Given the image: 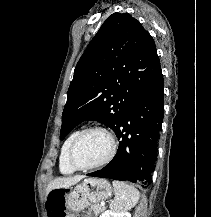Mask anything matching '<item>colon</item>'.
<instances>
[{"mask_svg":"<svg viewBox=\"0 0 211 217\" xmlns=\"http://www.w3.org/2000/svg\"><path fill=\"white\" fill-rule=\"evenodd\" d=\"M47 210L49 217H65V198L60 190L50 192L47 201Z\"/></svg>","mask_w":211,"mask_h":217,"instance_id":"1","label":"colon"}]
</instances>
